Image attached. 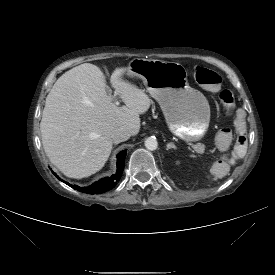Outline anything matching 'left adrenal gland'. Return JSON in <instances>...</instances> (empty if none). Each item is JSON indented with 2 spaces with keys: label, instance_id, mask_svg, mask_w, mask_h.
Here are the masks:
<instances>
[{
  "label": "left adrenal gland",
  "instance_id": "a2214340",
  "mask_svg": "<svg viewBox=\"0 0 275 275\" xmlns=\"http://www.w3.org/2000/svg\"><path fill=\"white\" fill-rule=\"evenodd\" d=\"M171 148L176 149V146H175L173 143H168V144H167V150H168V149H171Z\"/></svg>",
  "mask_w": 275,
  "mask_h": 275
}]
</instances>
